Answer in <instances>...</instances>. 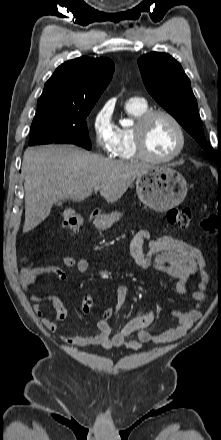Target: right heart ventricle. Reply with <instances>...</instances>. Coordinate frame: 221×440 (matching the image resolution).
<instances>
[{"mask_svg":"<svg viewBox=\"0 0 221 440\" xmlns=\"http://www.w3.org/2000/svg\"><path fill=\"white\" fill-rule=\"evenodd\" d=\"M126 111L130 116L138 118L148 111V106L144 100H130L126 104ZM112 155L120 160L138 157L133 141V127H117V141Z\"/></svg>","mask_w":221,"mask_h":440,"instance_id":"right-heart-ventricle-1","label":"right heart ventricle"}]
</instances>
